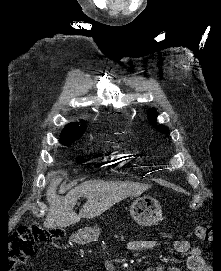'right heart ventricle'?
Here are the masks:
<instances>
[{"label":"right heart ventricle","mask_w":221,"mask_h":271,"mask_svg":"<svg viewBox=\"0 0 221 271\" xmlns=\"http://www.w3.org/2000/svg\"><path fill=\"white\" fill-rule=\"evenodd\" d=\"M110 161L112 163H114L115 161H117L119 163L121 160L119 158L117 160H115L114 158H112ZM123 161L126 163L128 160L125 158Z\"/></svg>","instance_id":"right-heart-ventricle-1"}]
</instances>
